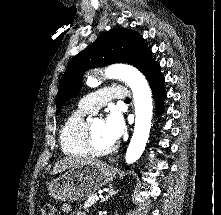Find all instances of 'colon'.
Listing matches in <instances>:
<instances>
[{
	"label": "colon",
	"instance_id": "obj_1",
	"mask_svg": "<svg viewBox=\"0 0 221 215\" xmlns=\"http://www.w3.org/2000/svg\"><path fill=\"white\" fill-rule=\"evenodd\" d=\"M41 212H42V215H54L55 208L53 205L49 203H44L41 206Z\"/></svg>",
	"mask_w": 221,
	"mask_h": 215
}]
</instances>
